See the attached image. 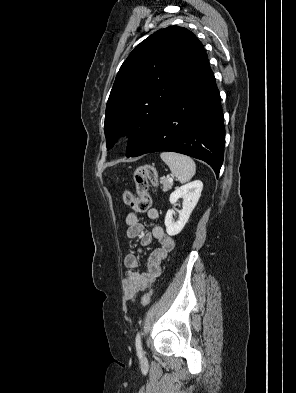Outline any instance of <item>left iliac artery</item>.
Returning a JSON list of instances; mask_svg holds the SVG:
<instances>
[{"label":"left iliac artery","instance_id":"left-iliac-artery-1","mask_svg":"<svg viewBox=\"0 0 296 393\" xmlns=\"http://www.w3.org/2000/svg\"><path fill=\"white\" fill-rule=\"evenodd\" d=\"M135 346H136L137 353L141 355L143 353V350H142L141 337L139 332L136 335Z\"/></svg>","mask_w":296,"mask_h":393}]
</instances>
